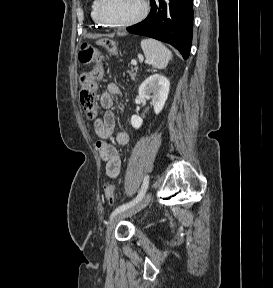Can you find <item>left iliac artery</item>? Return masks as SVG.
Masks as SVG:
<instances>
[{"instance_id":"obj_1","label":"left iliac artery","mask_w":273,"mask_h":288,"mask_svg":"<svg viewBox=\"0 0 273 288\" xmlns=\"http://www.w3.org/2000/svg\"><path fill=\"white\" fill-rule=\"evenodd\" d=\"M149 185V176L146 175L144 177V181L143 184L141 186V189L138 193V195L136 196V198H134L132 201L125 203L123 205H120L119 207H117L113 213L111 214V218L114 217L115 215H117L118 213H120L121 211H124L132 206H134L135 204H137L139 201H141V199L143 198V196L145 195L147 188Z\"/></svg>"}]
</instances>
